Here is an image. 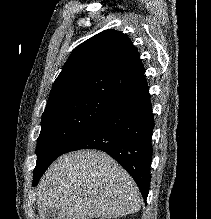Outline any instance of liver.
<instances>
[{
	"instance_id": "6515ba94",
	"label": "liver",
	"mask_w": 211,
	"mask_h": 219,
	"mask_svg": "<svg viewBox=\"0 0 211 219\" xmlns=\"http://www.w3.org/2000/svg\"><path fill=\"white\" fill-rule=\"evenodd\" d=\"M40 219L51 208L58 219L118 218L141 208L140 193L131 176L108 154L81 150L60 156L39 182Z\"/></svg>"
}]
</instances>
